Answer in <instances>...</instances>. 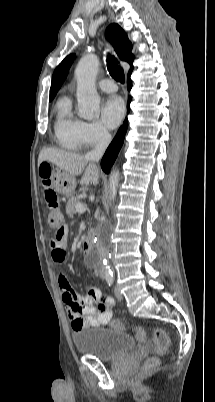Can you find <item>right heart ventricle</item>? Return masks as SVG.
Masks as SVG:
<instances>
[{"label": "right heart ventricle", "mask_w": 215, "mask_h": 402, "mask_svg": "<svg viewBox=\"0 0 215 402\" xmlns=\"http://www.w3.org/2000/svg\"><path fill=\"white\" fill-rule=\"evenodd\" d=\"M79 120L72 112L71 100L59 98L55 106L54 134L57 144L67 150H77L81 145L77 135Z\"/></svg>", "instance_id": "obj_1"}]
</instances>
